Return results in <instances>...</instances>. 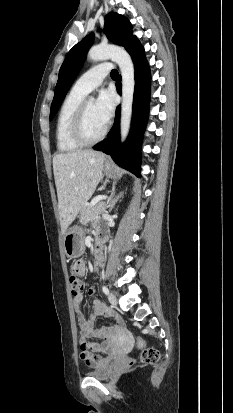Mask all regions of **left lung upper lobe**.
<instances>
[{"label":"left lung upper lobe","instance_id":"left-lung-upper-lobe-1","mask_svg":"<svg viewBox=\"0 0 233 413\" xmlns=\"http://www.w3.org/2000/svg\"><path fill=\"white\" fill-rule=\"evenodd\" d=\"M104 32L110 41L125 47L127 51L140 43L132 33L131 23L126 17L118 13H109L106 15ZM93 38V34L87 35L67 54L59 71L58 82L50 109V120L55 116L66 93L80 71L85 60L86 52L93 43Z\"/></svg>","mask_w":233,"mask_h":413}]
</instances>
